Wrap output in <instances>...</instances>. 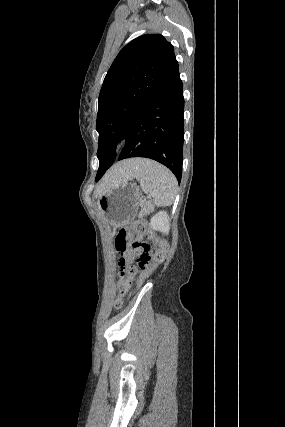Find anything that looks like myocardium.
Instances as JSON below:
<instances>
[{
  "instance_id": "f54148a6",
  "label": "myocardium",
  "mask_w": 285,
  "mask_h": 427,
  "mask_svg": "<svg viewBox=\"0 0 285 427\" xmlns=\"http://www.w3.org/2000/svg\"><path fill=\"white\" fill-rule=\"evenodd\" d=\"M124 143H125V141L123 140V139H119L118 141H117V145H124Z\"/></svg>"
}]
</instances>
